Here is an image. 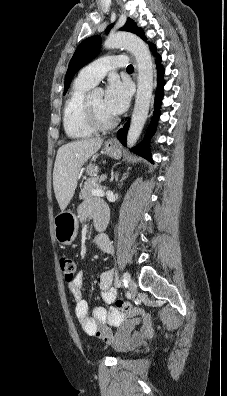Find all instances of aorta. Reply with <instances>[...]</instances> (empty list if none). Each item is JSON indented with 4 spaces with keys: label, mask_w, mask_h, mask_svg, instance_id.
Masks as SVG:
<instances>
[{
    "label": "aorta",
    "mask_w": 227,
    "mask_h": 396,
    "mask_svg": "<svg viewBox=\"0 0 227 396\" xmlns=\"http://www.w3.org/2000/svg\"><path fill=\"white\" fill-rule=\"evenodd\" d=\"M104 47L107 49L125 48L135 57L138 69V87L131 124L127 134V145L132 147L138 140L146 119L153 91V62L148 46L138 36L118 32L111 33Z\"/></svg>",
    "instance_id": "obj_1"
}]
</instances>
